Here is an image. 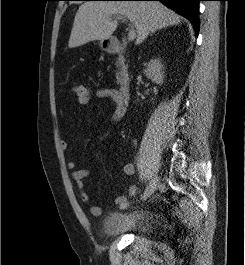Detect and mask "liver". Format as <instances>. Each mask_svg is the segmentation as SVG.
I'll use <instances>...</instances> for the list:
<instances>
[{
    "instance_id": "1",
    "label": "liver",
    "mask_w": 245,
    "mask_h": 265,
    "mask_svg": "<svg viewBox=\"0 0 245 265\" xmlns=\"http://www.w3.org/2000/svg\"><path fill=\"white\" fill-rule=\"evenodd\" d=\"M115 15L127 17L135 26L137 45L149 33L182 21L180 15L160 2L87 1L75 15L69 48L79 47L90 41L109 39L118 25L117 20H112Z\"/></svg>"
}]
</instances>
